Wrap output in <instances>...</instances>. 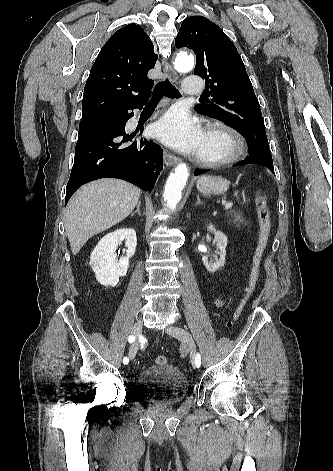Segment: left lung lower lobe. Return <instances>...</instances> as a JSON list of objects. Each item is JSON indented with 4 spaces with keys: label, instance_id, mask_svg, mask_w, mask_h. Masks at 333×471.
Segmentation results:
<instances>
[{
    "label": "left lung lower lobe",
    "instance_id": "left-lung-lower-lobe-1",
    "mask_svg": "<svg viewBox=\"0 0 333 471\" xmlns=\"http://www.w3.org/2000/svg\"><path fill=\"white\" fill-rule=\"evenodd\" d=\"M246 164H261V165H264L272 173L275 174L274 167H273L272 156H271L270 152L262 151V152L250 154L246 159H244L243 161L235 164V166L246 165ZM207 171L208 170L197 169L194 172V175H199V174L205 173Z\"/></svg>",
    "mask_w": 333,
    "mask_h": 471
}]
</instances>
